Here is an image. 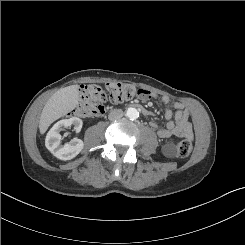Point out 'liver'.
I'll return each instance as SVG.
<instances>
[{
    "mask_svg": "<svg viewBox=\"0 0 245 245\" xmlns=\"http://www.w3.org/2000/svg\"><path fill=\"white\" fill-rule=\"evenodd\" d=\"M78 85H71L55 92L46 102L39 120V131L44 134L57 119L73 110L79 102Z\"/></svg>",
    "mask_w": 245,
    "mask_h": 245,
    "instance_id": "liver-1",
    "label": "liver"
}]
</instances>
